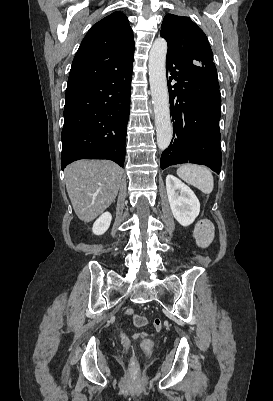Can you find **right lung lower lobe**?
I'll use <instances>...</instances> for the list:
<instances>
[{"instance_id": "98d812e1", "label": "right lung lower lobe", "mask_w": 273, "mask_h": 401, "mask_svg": "<svg viewBox=\"0 0 273 401\" xmlns=\"http://www.w3.org/2000/svg\"><path fill=\"white\" fill-rule=\"evenodd\" d=\"M133 61L66 93L61 167L79 159H109L121 167L130 109Z\"/></svg>"}]
</instances>
